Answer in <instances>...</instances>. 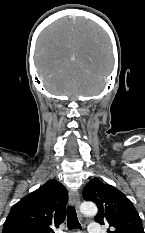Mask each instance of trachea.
<instances>
[{"label": "trachea", "instance_id": "trachea-1", "mask_svg": "<svg viewBox=\"0 0 145 233\" xmlns=\"http://www.w3.org/2000/svg\"><path fill=\"white\" fill-rule=\"evenodd\" d=\"M67 226L69 230L81 228L75 208L72 206L67 207Z\"/></svg>", "mask_w": 145, "mask_h": 233}]
</instances>
